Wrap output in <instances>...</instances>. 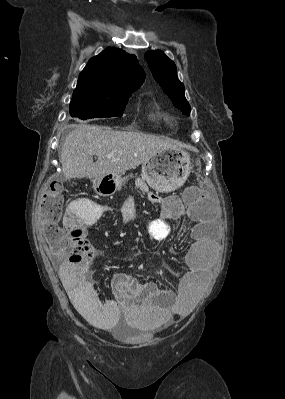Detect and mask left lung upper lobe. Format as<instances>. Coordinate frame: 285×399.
<instances>
[{"label": "left lung upper lobe", "mask_w": 285, "mask_h": 399, "mask_svg": "<svg viewBox=\"0 0 285 399\" xmlns=\"http://www.w3.org/2000/svg\"><path fill=\"white\" fill-rule=\"evenodd\" d=\"M144 57L155 80L173 104L185 115H189L190 105L184 96V85L178 80L174 62L160 50L147 51Z\"/></svg>", "instance_id": "5c2ea615"}]
</instances>
